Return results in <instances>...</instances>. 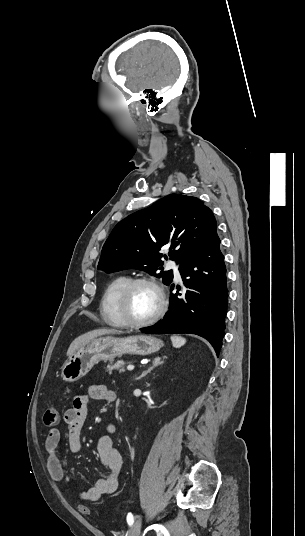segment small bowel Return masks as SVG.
<instances>
[{
    "mask_svg": "<svg viewBox=\"0 0 305 536\" xmlns=\"http://www.w3.org/2000/svg\"><path fill=\"white\" fill-rule=\"evenodd\" d=\"M112 402L116 398L114 391L103 385H92L88 395H77L72 406L64 414V423L67 427V442L72 452H79L82 448L81 435L87 416L88 399ZM115 432V426H107V434L99 437L97 453L100 462L106 468L103 476L96 478L91 488L83 489L78 496L81 500L97 501L103 495L114 493L119 485L120 473L123 467V457L115 447L110 434ZM61 433L57 428L49 429L44 444L46 454V468L55 481L63 480L70 489H75L76 481L71 473H67L60 458L59 445Z\"/></svg>",
    "mask_w": 305,
    "mask_h": 536,
    "instance_id": "obj_1",
    "label": "small bowel"
}]
</instances>
